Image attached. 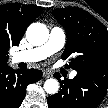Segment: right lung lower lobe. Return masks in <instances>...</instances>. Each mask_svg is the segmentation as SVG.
Segmentation results:
<instances>
[{"label": "right lung lower lobe", "instance_id": "98d812e1", "mask_svg": "<svg viewBox=\"0 0 108 108\" xmlns=\"http://www.w3.org/2000/svg\"><path fill=\"white\" fill-rule=\"evenodd\" d=\"M41 77V70H13L8 65L0 66V108H19L26 95V87Z\"/></svg>", "mask_w": 108, "mask_h": 108}]
</instances>
